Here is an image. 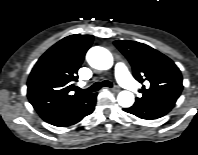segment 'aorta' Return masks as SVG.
Returning a JSON list of instances; mask_svg holds the SVG:
<instances>
[{
    "instance_id": "1",
    "label": "aorta",
    "mask_w": 198,
    "mask_h": 155,
    "mask_svg": "<svg viewBox=\"0 0 198 155\" xmlns=\"http://www.w3.org/2000/svg\"><path fill=\"white\" fill-rule=\"evenodd\" d=\"M86 60L91 67L99 70L110 69L113 65V56L110 51L100 46L90 48ZM117 101L120 106L128 108L134 104L135 97L132 92L124 90L118 94Z\"/></svg>"
}]
</instances>
